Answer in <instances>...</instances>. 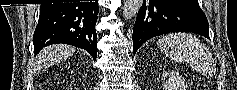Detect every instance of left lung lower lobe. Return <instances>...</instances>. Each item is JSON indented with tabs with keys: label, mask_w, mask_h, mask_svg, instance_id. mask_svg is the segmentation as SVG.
I'll use <instances>...</instances> for the list:
<instances>
[{
	"label": "left lung lower lobe",
	"mask_w": 237,
	"mask_h": 90,
	"mask_svg": "<svg viewBox=\"0 0 237 90\" xmlns=\"http://www.w3.org/2000/svg\"><path fill=\"white\" fill-rule=\"evenodd\" d=\"M170 32H192L210 39L198 0H144L133 28V54L148 39Z\"/></svg>",
	"instance_id": "left-lung-lower-lobe-1"
}]
</instances>
